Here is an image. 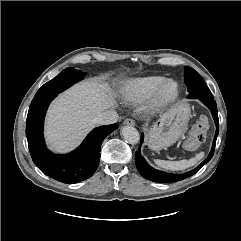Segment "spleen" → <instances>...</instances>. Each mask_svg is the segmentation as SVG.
I'll use <instances>...</instances> for the list:
<instances>
[{
    "label": "spleen",
    "mask_w": 241,
    "mask_h": 241,
    "mask_svg": "<svg viewBox=\"0 0 241 241\" xmlns=\"http://www.w3.org/2000/svg\"><path fill=\"white\" fill-rule=\"evenodd\" d=\"M204 157V153L200 152L196 154L193 158L189 160L183 159L180 161H165V160H154L155 164L160 168L171 170V171H179L187 169L191 166H194L198 161H200Z\"/></svg>",
    "instance_id": "1"
}]
</instances>
